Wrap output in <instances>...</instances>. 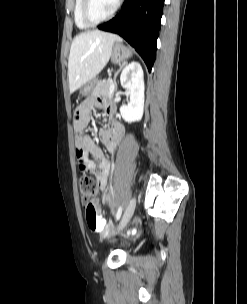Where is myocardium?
I'll list each match as a JSON object with an SVG mask.
<instances>
[{
    "label": "myocardium",
    "instance_id": "obj_1",
    "mask_svg": "<svg viewBox=\"0 0 247 304\" xmlns=\"http://www.w3.org/2000/svg\"><path fill=\"white\" fill-rule=\"evenodd\" d=\"M91 3H92V0H82L81 16H82L83 21L87 25L97 26L101 23L111 20L118 13V11L121 8V5L123 3V0H118L114 10L108 16H106L102 19H98V20L93 19L90 15Z\"/></svg>",
    "mask_w": 247,
    "mask_h": 304
}]
</instances>
